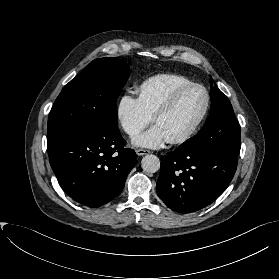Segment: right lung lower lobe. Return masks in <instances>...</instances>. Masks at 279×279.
<instances>
[{
  "instance_id": "right-lung-lower-lobe-1",
  "label": "right lung lower lobe",
  "mask_w": 279,
  "mask_h": 279,
  "mask_svg": "<svg viewBox=\"0 0 279 279\" xmlns=\"http://www.w3.org/2000/svg\"><path fill=\"white\" fill-rule=\"evenodd\" d=\"M118 127L77 133L48 145L49 161L62 189L76 202L101 207L122 191L136 164Z\"/></svg>"
}]
</instances>
